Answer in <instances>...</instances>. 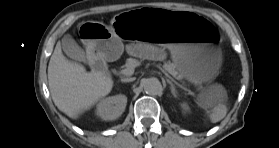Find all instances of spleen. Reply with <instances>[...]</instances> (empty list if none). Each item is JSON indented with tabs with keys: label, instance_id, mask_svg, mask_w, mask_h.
<instances>
[{
	"label": "spleen",
	"instance_id": "1",
	"mask_svg": "<svg viewBox=\"0 0 279 148\" xmlns=\"http://www.w3.org/2000/svg\"><path fill=\"white\" fill-rule=\"evenodd\" d=\"M226 114L227 106L221 103L212 110V112L209 114V118L212 123H216L222 120L226 116Z\"/></svg>",
	"mask_w": 279,
	"mask_h": 148
}]
</instances>
